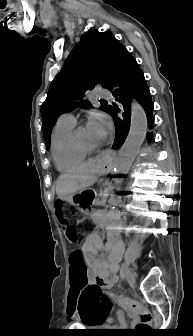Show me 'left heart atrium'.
Here are the masks:
<instances>
[{"instance_id": "left-heart-atrium-1", "label": "left heart atrium", "mask_w": 193, "mask_h": 336, "mask_svg": "<svg viewBox=\"0 0 193 336\" xmlns=\"http://www.w3.org/2000/svg\"><path fill=\"white\" fill-rule=\"evenodd\" d=\"M88 130L100 142L103 141L111 129V122L109 118L101 113H95L91 116L88 125Z\"/></svg>"}]
</instances>
